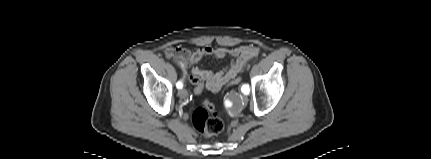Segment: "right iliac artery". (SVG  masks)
<instances>
[{"instance_id":"82829eb1","label":"right iliac artery","mask_w":431,"mask_h":159,"mask_svg":"<svg viewBox=\"0 0 431 159\" xmlns=\"http://www.w3.org/2000/svg\"><path fill=\"white\" fill-rule=\"evenodd\" d=\"M176 87L178 89H181L183 87V82L182 81H178L177 84H176Z\"/></svg>"}]
</instances>
